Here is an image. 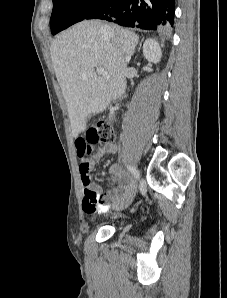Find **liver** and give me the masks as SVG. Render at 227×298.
Returning <instances> with one entry per match:
<instances>
[{"label": "liver", "mask_w": 227, "mask_h": 298, "mask_svg": "<svg viewBox=\"0 0 227 298\" xmlns=\"http://www.w3.org/2000/svg\"><path fill=\"white\" fill-rule=\"evenodd\" d=\"M84 20L59 34L50 52L67 104L72 136L85 131L91 114L106 110L112 100L126 90L127 62L133 55L139 36L117 25ZM104 68L109 78L97 77L95 69Z\"/></svg>", "instance_id": "liver-1"}]
</instances>
